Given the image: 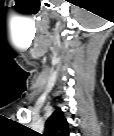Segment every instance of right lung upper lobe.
I'll list each match as a JSON object with an SVG mask.
<instances>
[{"mask_svg": "<svg viewBox=\"0 0 114 136\" xmlns=\"http://www.w3.org/2000/svg\"><path fill=\"white\" fill-rule=\"evenodd\" d=\"M45 136H69L68 122L63 112L57 109L45 123Z\"/></svg>", "mask_w": 114, "mask_h": 136, "instance_id": "right-lung-upper-lobe-1", "label": "right lung upper lobe"}]
</instances>
